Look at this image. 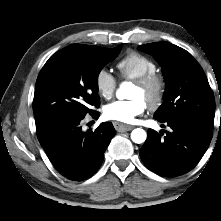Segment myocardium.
<instances>
[{"label": "myocardium", "mask_w": 221, "mask_h": 221, "mask_svg": "<svg viewBox=\"0 0 221 221\" xmlns=\"http://www.w3.org/2000/svg\"><path fill=\"white\" fill-rule=\"evenodd\" d=\"M133 83L147 92L146 105L150 110H157L163 103L166 92L165 78L157 72L149 73L133 80Z\"/></svg>", "instance_id": "f54148a6"}]
</instances>
